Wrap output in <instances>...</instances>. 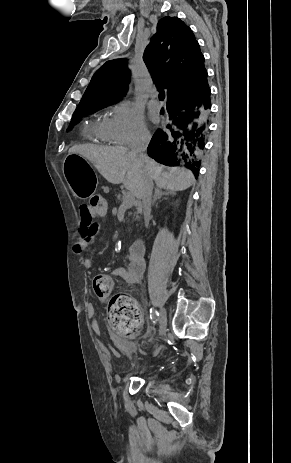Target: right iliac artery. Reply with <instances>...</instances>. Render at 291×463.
Segmentation results:
<instances>
[{"label": "right iliac artery", "mask_w": 291, "mask_h": 463, "mask_svg": "<svg viewBox=\"0 0 291 463\" xmlns=\"http://www.w3.org/2000/svg\"><path fill=\"white\" fill-rule=\"evenodd\" d=\"M158 316H159V313L156 310H153L151 308L150 309V319L152 320L153 323H156Z\"/></svg>", "instance_id": "82829eb1"}]
</instances>
